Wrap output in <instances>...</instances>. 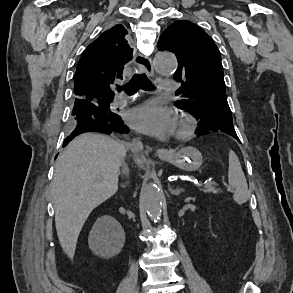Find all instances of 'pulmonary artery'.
Masks as SVG:
<instances>
[{
  "mask_svg": "<svg viewBox=\"0 0 293 293\" xmlns=\"http://www.w3.org/2000/svg\"><path fill=\"white\" fill-rule=\"evenodd\" d=\"M160 89L163 91H173L178 88V84L173 80L162 79L160 80ZM129 98L123 94L117 96L116 103L119 105L125 104L128 102Z\"/></svg>",
  "mask_w": 293,
  "mask_h": 293,
  "instance_id": "1",
  "label": "pulmonary artery"
}]
</instances>
